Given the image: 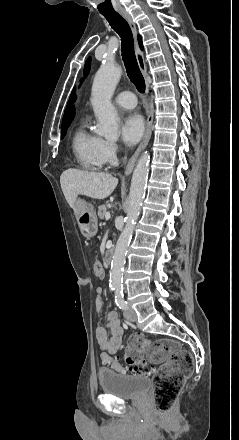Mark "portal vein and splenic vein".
I'll return each mask as SVG.
<instances>
[{"label": "portal vein and splenic vein", "mask_w": 239, "mask_h": 440, "mask_svg": "<svg viewBox=\"0 0 239 440\" xmlns=\"http://www.w3.org/2000/svg\"><path fill=\"white\" fill-rule=\"evenodd\" d=\"M105 218H106V220H110L111 216H110L109 212H106Z\"/></svg>", "instance_id": "portal-vein-and-splenic-vein-1"}]
</instances>
